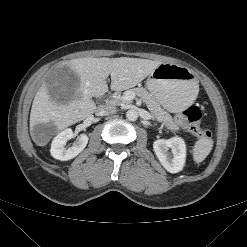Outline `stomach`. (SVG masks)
<instances>
[{
  "label": "stomach",
  "instance_id": "obj_1",
  "mask_svg": "<svg viewBox=\"0 0 247 247\" xmlns=\"http://www.w3.org/2000/svg\"><path fill=\"white\" fill-rule=\"evenodd\" d=\"M146 87L167 111L178 113L184 111L196 99L198 82L186 67L161 63L148 76Z\"/></svg>",
  "mask_w": 247,
  "mask_h": 247
}]
</instances>
